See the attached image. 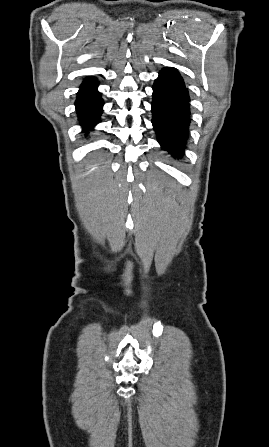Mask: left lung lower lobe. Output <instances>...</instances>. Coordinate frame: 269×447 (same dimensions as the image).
<instances>
[{"label":"left lung lower lobe","mask_w":269,"mask_h":447,"mask_svg":"<svg viewBox=\"0 0 269 447\" xmlns=\"http://www.w3.org/2000/svg\"><path fill=\"white\" fill-rule=\"evenodd\" d=\"M189 94L178 71L166 67L153 86V127L163 150L182 159L189 137Z\"/></svg>","instance_id":"left-lung-lower-lobe-1"}]
</instances>
